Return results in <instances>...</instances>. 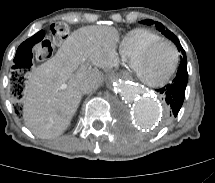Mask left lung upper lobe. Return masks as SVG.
I'll list each match as a JSON object with an SVG mask.
<instances>
[{
  "mask_svg": "<svg viewBox=\"0 0 215 183\" xmlns=\"http://www.w3.org/2000/svg\"><path fill=\"white\" fill-rule=\"evenodd\" d=\"M141 23L150 25V24H155L156 28L164 35L166 36L168 39H170L172 42H174L178 48V50L182 53V57L181 60L186 58L185 52L178 40V38L169 30H167L163 24L159 23V22H154L152 20H143L141 21Z\"/></svg>",
  "mask_w": 215,
  "mask_h": 183,
  "instance_id": "obj_1",
  "label": "left lung upper lobe"
}]
</instances>
